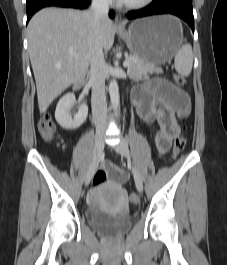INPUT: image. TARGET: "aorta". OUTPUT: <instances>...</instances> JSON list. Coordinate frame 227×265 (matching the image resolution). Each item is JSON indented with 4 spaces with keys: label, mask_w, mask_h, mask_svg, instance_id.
I'll return each instance as SVG.
<instances>
[{
    "label": "aorta",
    "mask_w": 227,
    "mask_h": 265,
    "mask_svg": "<svg viewBox=\"0 0 227 265\" xmlns=\"http://www.w3.org/2000/svg\"><path fill=\"white\" fill-rule=\"evenodd\" d=\"M109 94L112 107L117 115L120 109V97L116 79H112L109 83Z\"/></svg>",
    "instance_id": "1"
}]
</instances>
